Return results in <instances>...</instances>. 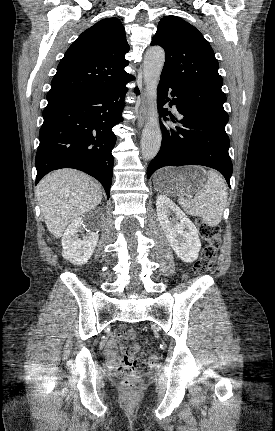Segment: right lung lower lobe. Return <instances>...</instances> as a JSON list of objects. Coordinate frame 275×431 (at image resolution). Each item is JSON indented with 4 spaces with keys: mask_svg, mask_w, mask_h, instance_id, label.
<instances>
[{
    "mask_svg": "<svg viewBox=\"0 0 275 431\" xmlns=\"http://www.w3.org/2000/svg\"><path fill=\"white\" fill-rule=\"evenodd\" d=\"M130 78L109 90L48 102L36 153V184L52 170L75 168L95 177L109 198L116 143L112 128L123 120Z\"/></svg>",
    "mask_w": 275,
    "mask_h": 431,
    "instance_id": "obj_1",
    "label": "right lung lower lobe"
}]
</instances>
